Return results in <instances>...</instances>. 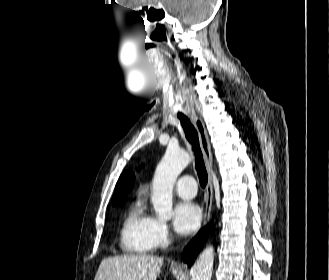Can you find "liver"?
Instances as JSON below:
<instances>
[{
	"label": "liver",
	"instance_id": "obj_1",
	"mask_svg": "<svg viewBox=\"0 0 329 280\" xmlns=\"http://www.w3.org/2000/svg\"><path fill=\"white\" fill-rule=\"evenodd\" d=\"M162 265V257L117 255L101 261L94 280H156Z\"/></svg>",
	"mask_w": 329,
	"mask_h": 280
}]
</instances>
